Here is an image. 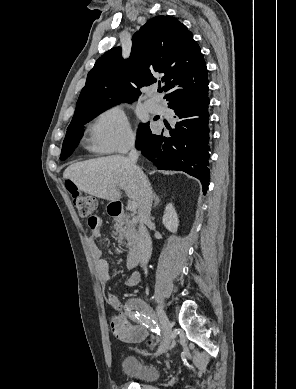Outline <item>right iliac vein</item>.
<instances>
[{"mask_svg": "<svg viewBox=\"0 0 296 389\" xmlns=\"http://www.w3.org/2000/svg\"><path fill=\"white\" fill-rule=\"evenodd\" d=\"M156 318H157V320H159V322L161 324V327L163 330V335H164L162 344L159 347V349L157 350V352L155 353V356H159V355L163 354L168 349V347L170 345L172 325H171L167 315L163 311L162 307H160V306L157 307Z\"/></svg>", "mask_w": 296, "mask_h": 389, "instance_id": "1", "label": "right iliac vein"}]
</instances>
